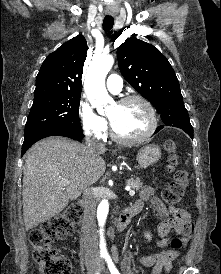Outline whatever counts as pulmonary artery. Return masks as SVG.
<instances>
[{"label": "pulmonary artery", "instance_id": "pulmonary-artery-1", "mask_svg": "<svg viewBox=\"0 0 221 274\" xmlns=\"http://www.w3.org/2000/svg\"><path fill=\"white\" fill-rule=\"evenodd\" d=\"M122 79L117 74H111L108 76L106 86L108 90L114 94H118L122 90Z\"/></svg>", "mask_w": 221, "mask_h": 274}]
</instances>
